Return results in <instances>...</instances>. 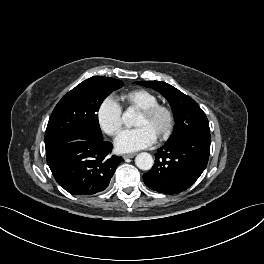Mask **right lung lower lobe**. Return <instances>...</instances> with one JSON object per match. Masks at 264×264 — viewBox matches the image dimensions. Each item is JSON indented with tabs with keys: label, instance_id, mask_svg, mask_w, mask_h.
I'll return each instance as SVG.
<instances>
[{
	"label": "right lung lower lobe",
	"instance_id": "98d812e1",
	"mask_svg": "<svg viewBox=\"0 0 264 264\" xmlns=\"http://www.w3.org/2000/svg\"><path fill=\"white\" fill-rule=\"evenodd\" d=\"M108 141L73 140L48 151L47 163L58 184L72 195H91L107 188L122 157L110 156Z\"/></svg>",
	"mask_w": 264,
	"mask_h": 264
}]
</instances>
